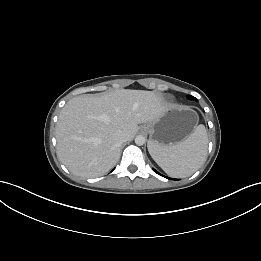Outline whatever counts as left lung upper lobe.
Here are the masks:
<instances>
[{
  "instance_id": "left-lung-upper-lobe-1",
  "label": "left lung upper lobe",
  "mask_w": 261,
  "mask_h": 261,
  "mask_svg": "<svg viewBox=\"0 0 261 261\" xmlns=\"http://www.w3.org/2000/svg\"><path fill=\"white\" fill-rule=\"evenodd\" d=\"M188 98H189V99H192V100H196V98L193 97V96H191V95H188Z\"/></svg>"
}]
</instances>
